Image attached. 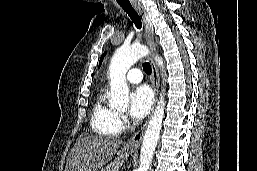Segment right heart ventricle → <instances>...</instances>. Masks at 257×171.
Here are the masks:
<instances>
[{
    "label": "right heart ventricle",
    "instance_id": "obj_1",
    "mask_svg": "<svg viewBox=\"0 0 257 171\" xmlns=\"http://www.w3.org/2000/svg\"><path fill=\"white\" fill-rule=\"evenodd\" d=\"M90 125L92 130L99 135L118 136L122 132L120 116L108 104L105 92H101L94 103Z\"/></svg>",
    "mask_w": 257,
    "mask_h": 171
}]
</instances>
